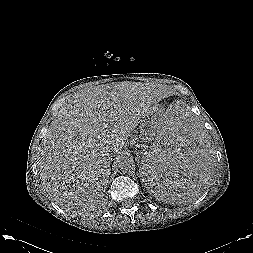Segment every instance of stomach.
Wrapping results in <instances>:
<instances>
[{
	"label": "stomach",
	"instance_id": "stomach-1",
	"mask_svg": "<svg viewBox=\"0 0 253 253\" xmlns=\"http://www.w3.org/2000/svg\"><path fill=\"white\" fill-rule=\"evenodd\" d=\"M164 115L162 108L156 106L140 123V132L145 142H150L160 118Z\"/></svg>",
	"mask_w": 253,
	"mask_h": 253
}]
</instances>
